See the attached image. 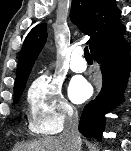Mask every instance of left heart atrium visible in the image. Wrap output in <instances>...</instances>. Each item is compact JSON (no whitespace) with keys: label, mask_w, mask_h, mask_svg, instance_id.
I'll return each instance as SVG.
<instances>
[{"label":"left heart atrium","mask_w":131,"mask_h":151,"mask_svg":"<svg viewBox=\"0 0 131 151\" xmlns=\"http://www.w3.org/2000/svg\"><path fill=\"white\" fill-rule=\"evenodd\" d=\"M91 94L90 85L82 78H75L69 85V96L75 103H81Z\"/></svg>","instance_id":"obj_1"}]
</instances>
